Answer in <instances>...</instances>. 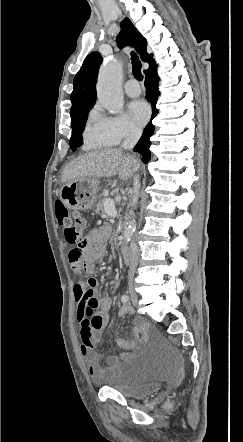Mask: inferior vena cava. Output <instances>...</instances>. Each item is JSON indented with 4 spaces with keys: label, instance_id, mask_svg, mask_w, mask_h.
Listing matches in <instances>:
<instances>
[{
    "label": "inferior vena cava",
    "instance_id": "1",
    "mask_svg": "<svg viewBox=\"0 0 243 442\" xmlns=\"http://www.w3.org/2000/svg\"><path fill=\"white\" fill-rule=\"evenodd\" d=\"M141 134H142V129H140L138 127H131L130 131H129L127 137L125 138V140L123 141V144L121 147L125 150H132L133 147L138 142L139 138L141 137ZM139 190H140L139 176L135 175L134 176V194L136 196L139 195ZM138 258H139V248L137 246L136 241L133 240L131 242V246H130V265H129V271H128L129 277H132L135 273L136 266L138 263Z\"/></svg>",
    "mask_w": 243,
    "mask_h": 442
}]
</instances>
